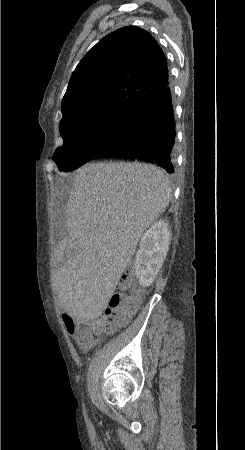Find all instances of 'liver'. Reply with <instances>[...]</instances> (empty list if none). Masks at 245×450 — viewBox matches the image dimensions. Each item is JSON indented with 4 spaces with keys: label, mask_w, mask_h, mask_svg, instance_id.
<instances>
[{
    "label": "liver",
    "mask_w": 245,
    "mask_h": 450,
    "mask_svg": "<svg viewBox=\"0 0 245 450\" xmlns=\"http://www.w3.org/2000/svg\"><path fill=\"white\" fill-rule=\"evenodd\" d=\"M172 189L151 164L88 163L66 206L68 237L55 249V285L71 316L91 319L108 306L143 232L164 212Z\"/></svg>",
    "instance_id": "1"
}]
</instances>
